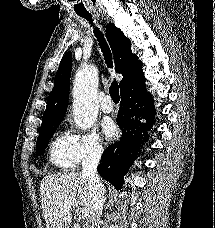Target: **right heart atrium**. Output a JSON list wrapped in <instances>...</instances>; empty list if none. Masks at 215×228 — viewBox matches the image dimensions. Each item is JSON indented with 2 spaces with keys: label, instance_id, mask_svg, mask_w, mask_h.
<instances>
[{
  "label": "right heart atrium",
  "instance_id": "obj_1",
  "mask_svg": "<svg viewBox=\"0 0 215 228\" xmlns=\"http://www.w3.org/2000/svg\"><path fill=\"white\" fill-rule=\"evenodd\" d=\"M75 137L76 159L78 164L99 161L105 152V145L95 129L78 133Z\"/></svg>",
  "mask_w": 215,
  "mask_h": 228
}]
</instances>
